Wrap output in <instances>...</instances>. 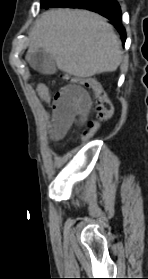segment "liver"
I'll return each mask as SVG.
<instances>
[{"label":"liver","instance_id":"1","mask_svg":"<svg viewBox=\"0 0 148 279\" xmlns=\"http://www.w3.org/2000/svg\"><path fill=\"white\" fill-rule=\"evenodd\" d=\"M28 54L42 49L58 69L88 78L115 71L121 63L118 37L106 19L85 10L52 9L41 15L29 33Z\"/></svg>","mask_w":148,"mask_h":279}]
</instances>
